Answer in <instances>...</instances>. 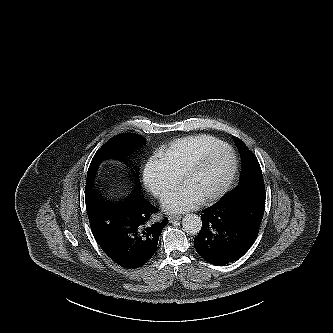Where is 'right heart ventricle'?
Here are the masks:
<instances>
[{
    "mask_svg": "<svg viewBox=\"0 0 333 333\" xmlns=\"http://www.w3.org/2000/svg\"><path fill=\"white\" fill-rule=\"evenodd\" d=\"M222 143L221 139L211 135H193L172 141L161 148L160 155L172 173L180 176L199 155Z\"/></svg>",
    "mask_w": 333,
    "mask_h": 333,
    "instance_id": "1",
    "label": "right heart ventricle"
}]
</instances>
